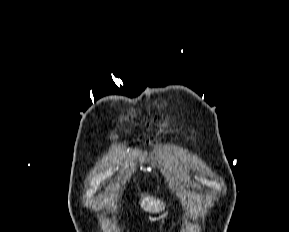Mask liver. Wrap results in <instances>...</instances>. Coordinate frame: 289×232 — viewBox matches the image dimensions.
Instances as JSON below:
<instances>
[{"label": "liver", "mask_w": 289, "mask_h": 232, "mask_svg": "<svg viewBox=\"0 0 289 232\" xmlns=\"http://www.w3.org/2000/svg\"><path fill=\"white\" fill-rule=\"evenodd\" d=\"M140 205L145 211L153 213H158L165 209V204L163 201L151 196H143Z\"/></svg>", "instance_id": "6515ba94"}]
</instances>
